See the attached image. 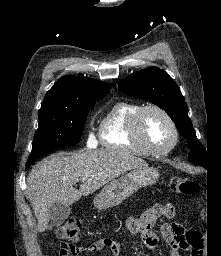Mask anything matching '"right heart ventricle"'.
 <instances>
[{"label":"right heart ventricle","instance_id":"e07e8e85","mask_svg":"<svg viewBox=\"0 0 221 256\" xmlns=\"http://www.w3.org/2000/svg\"><path fill=\"white\" fill-rule=\"evenodd\" d=\"M142 106L131 101H118L103 114L99 123V139L103 147L135 155L147 152L135 143L130 134V126L136 112Z\"/></svg>","mask_w":221,"mask_h":256}]
</instances>
